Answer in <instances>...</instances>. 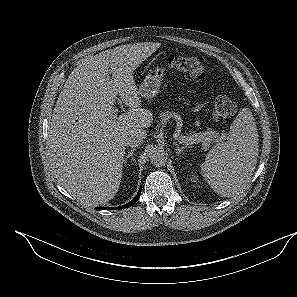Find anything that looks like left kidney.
<instances>
[{
	"label": "left kidney",
	"instance_id": "5707ae66",
	"mask_svg": "<svg viewBox=\"0 0 297 297\" xmlns=\"http://www.w3.org/2000/svg\"><path fill=\"white\" fill-rule=\"evenodd\" d=\"M197 180H198V179H197L196 175L193 174L192 177H191V181L194 182V183H196L197 186H199V185L197 184V183H198Z\"/></svg>",
	"mask_w": 297,
	"mask_h": 297
}]
</instances>
